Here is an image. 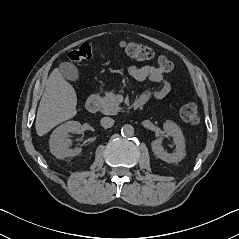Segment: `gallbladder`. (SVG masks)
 I'll return each instance as SVG.
<instances>
[{
  "instance_id": "gallbladder-1",
  "label": "gallbladder",
  "mask_w": 239,
  "mask_h": 239,
  "mask_svg": "<svg viewBox=\"0 0 239 239\" xmlns=\"http://www.w3.org/2000/svg\"><path fill=\"white\" fill-rule=\"evenodd\" d=\"M61 74L70 81H76L79 78V72L76 66L70 62H61L59 65Z\"/></svg>"
}]
</instances>
